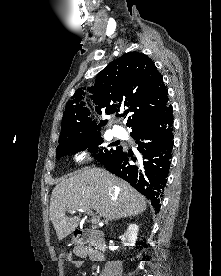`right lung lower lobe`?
Wrapping results in <instances>:
<instances>
[{"mask_svg": "<svg viewBox=\"0 0 221 276\" xmlns=\"http://www.w3.org/2000/svg\"><path fill=\"white\" fill-rule=\"evenodd\" d=\"M130 135L139 144L140 158L137 160L122 149L103 165L146 196L159 212L172 157V106L169 105L157 117L133 126Z\"/></svg>", "mask_w": 221, "mask_h": 276, "instance_id": "obj_1", "label": "right lung lower lobe"}]
</instances>
